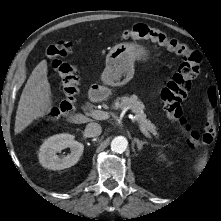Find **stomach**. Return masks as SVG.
Listing matches in <instances>:
<instances>
[{"label":"stomach","instance_id":"stomach-1","mask_svg":"<svg viewBox=\"0 0 221 221\" xmlns=\"http://www.w3.org/2000/svg\"><path fill=\"white\" fill-rule=\"evenodd\" d=\"M147 57L143 45L137 43H119L106 56V67L101 80L109 86H121L129 82L134 74L135 60Z\"/></svg>","mask_w":221,"mask_h":221}]
</instances>
